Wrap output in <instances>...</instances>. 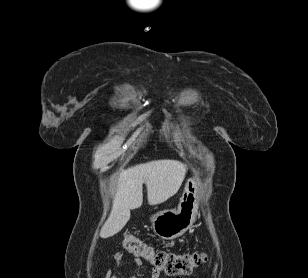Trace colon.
Instances as JSON below:
<instances>
[{
	"label": "colon",
	"instance_id": "5ec220e1",
	"mask_svg": "<svg viewBox=\"0 0 308 278\" xmlns=\"http://www.w3.org/2000/svg\"><path fill=\"white\" fill-rule=\"evenodd\" d=\"M123 247L132 255L149 262L157 272L167 275L181 276L194 271L206 257L198 253H174L169 250H156L133 235L123 238Z\"/></svg>",
	"mask_w": 308,
	"mask_h": 278
}]
</instances>
